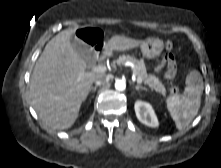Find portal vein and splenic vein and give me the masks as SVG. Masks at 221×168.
<instances>
[{"instance_id":"1","label":"portal vein and splenic vein","mask_w":221,"mask_h":168,"mask_svg":"<svg viewBox=\"0 0 221 168\" xmlns=\"http://www.w3.org/2000/svg\"><path fill=\"white\" fill-rule=\"evenodd\" d=\"M92 71L98 73H104L105 71H107V67L105 65H97L94 68H92ZM135 80L137 81L138 84L142 83L141 78H135Z\"/></svg>"}]
</instances>
